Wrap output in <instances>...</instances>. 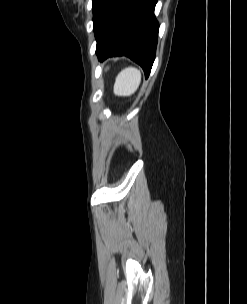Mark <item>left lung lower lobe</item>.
Returning <instances> with one entry per match:
<instances>
[{
    "label": "left lung lower lobe",
    "mask_w": 247,
    "mask_h": 304,
    "mask_svg": "<svg viewBox=\"0 0 247 304\" xmlns=\"http://www.w3.org/2000/svg\"><path fill=\"white\" fill-rule=\"evenodd\" d=\"M156 3L157 0H101L93 15L98 59L127 56L143 68L147 78L158 39Z\"/></svg>",
    "instance_id": "0a47b994"
}]
</instances>
